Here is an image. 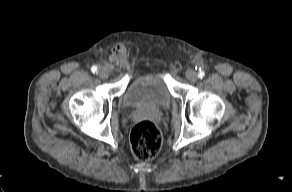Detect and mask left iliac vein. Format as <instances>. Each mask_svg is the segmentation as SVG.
Segmentation results:
<instances>
[{
    "mask_svg": "<svg viewBox=\"0 0 292 192\" xmlns=\"http://www.w3.org/2000/svg\"><path fill=\"white\" fill-rule=\"evenodd\" d=\"M186 78L190 81V82H196L198 79V75L194 70H188L186 72Z\"/></svg>",
    "mask_w": 292,
    "mask_h": 192,
    "instance_id": "4c4485c4",
    "label": "left iliac vein"
}]
</instances>
